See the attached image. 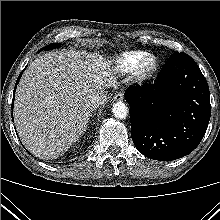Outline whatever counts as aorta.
Here are the masks:
<instances>
[{"label":"aorta","instance_id":"1","mask_svg":"<svg viewBox=\"0 0 220 220\" xmlns=\"http://www.w3.org/2000/svg\"><path fill=\"white\" fill-rule=\"evenodd\" d=\"M112 113L118 119H125L128 115V107L122 101L116 102L113 104Z\"/></svg>","mask_w":220,"mask_h":220}]
</instances>
